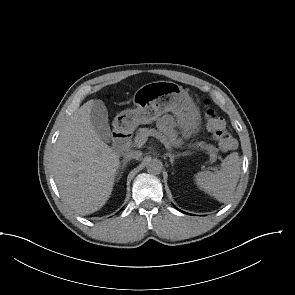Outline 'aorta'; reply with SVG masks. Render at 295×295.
Listing matches in <instances>:
<instances>
[{"mask_svg": "<svg viewBox=\"0 0 295 295\" xmlns=\"http://www.w3.org/2000/svg\"><path fill=\"white\" fill-rule=\"evenodd\" d=\"M146 168L149 173L159 174L163 168V164L159 159L153 158L147 161Z\"/></svg>", "mask_w": 295, "mask_h": 295, "instance_id": "1", "label": "aorta"}]
</instances>
